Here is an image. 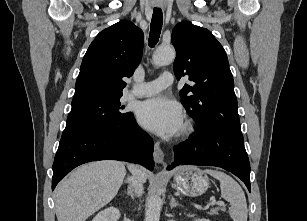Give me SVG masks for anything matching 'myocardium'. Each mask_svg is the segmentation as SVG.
I'll use <instances>...</instances> for the list:
<instances>
[{"label": "myocardium", "mask_w": 307, "mask_h": 221, "mask_svg": "<svg viewBox=\"0 0 307 221\" xmlns=\"http://www.w3.org/2000/svg\"><path fill=\"white\" fill-rule=\"evenodd\" d=\"M194 130V126L191 120H187L184 125L182 126V131L181 134L183 136H188L190 135Z\"/></svg>", "instance_id": "myocardium-1"}]
</instances>
